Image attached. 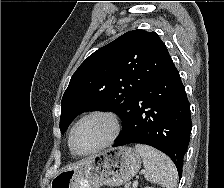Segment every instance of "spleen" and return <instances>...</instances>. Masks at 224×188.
Masks as SVG:
<instances>
[{"mask_svg":"<svg viewBox=\"0 0 224 188\" xmlns=\"http://www.w3.org/2000/svg\"><path fill=\"white\" fill-rule=\"evenodd\" d=\"M135 149L143 159L147 181L163 188H176L178 172L168 156L148 145L136 144Z\"/></svg>","mask_w":224,"mask_h":188,"instance_id":"3e777b00","label":"spleen"}]
</instances>
